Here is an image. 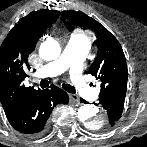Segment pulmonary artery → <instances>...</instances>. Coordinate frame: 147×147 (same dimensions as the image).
<instances>
[{
  "instance_id": "pulmonary-artery-1",
  "label": "pulmonary artery",
  "mask_w": 147,
  "mask_h": 147,
  "mask_svg": "<svg viewBox=\"0 0 147 147\" xmlns=\"http://www.w3.org/2000/svg\"><path fill=\"white\" fill-rule=\"evenodd\" d=\"M90 49L89 40L80 32L74 33L67 42L59 60L44 66L41 70L43 77L56 76L69 70L72 84L76 91L88 100L96 98V91L89 86L81 75L82 64Z\"/></svg>"
}]
</instances>
